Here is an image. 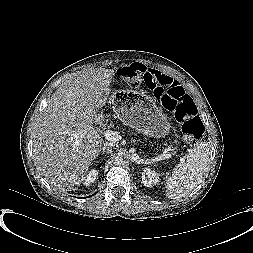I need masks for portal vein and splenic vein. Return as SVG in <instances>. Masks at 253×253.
<instances>
[{"mask_svg":"<svg viewBox=\"0 0 253 253\" xmlns=\"http://www.w3.org/2000/svg\"><path fill=\"white\" fill-rule=\"evenodd\" d=\"M104 136L107 140L112 141V142H116L120 139V135L118 134V132L112 131V130H106L104 132ZM78 144H79V142H76V145H78ZM162 157L169 159V158H171V154L170 153L163 154Z\"/></svg>","mask_w":253,"mask_h":253,"instance_id":"18ae733b","label":"portal vein and splenic vein"}]
</instances>
